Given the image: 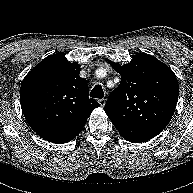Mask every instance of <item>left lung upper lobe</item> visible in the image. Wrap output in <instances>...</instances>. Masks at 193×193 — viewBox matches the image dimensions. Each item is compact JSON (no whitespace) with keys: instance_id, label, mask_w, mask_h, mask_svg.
<instances>
[{"instance_id":"left-lung-upper-lobe-1","label":"left lung upper lobe","mask_w":193,"mask_h":193,"mask_svg":"<svg viewBox=\"0 0 193 193\" xmlns=\"http://www.w3.org/2000/svg\"><path fill=\"white\" fill-rule=\"evenodd\" d=\"M121 75L104 111L128 138H153L170 122L176 108L179 84L174 72L157 58L136 54L130 63L111 62Z\"/></svg>"}]
</instances>
